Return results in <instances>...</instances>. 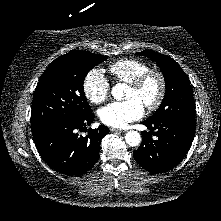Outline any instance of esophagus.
Returning <instances> with one entry per match:
<instances>
[{
    "mask_svg": "<svg viewBox=\"0 0 221 221\" xmlns=\"http://www.w3.org/2000/svg\"><path fill=\"white\" fill-rule=\"evenodd\" d=\"M110 131H112V132H117V133L125 132V131L122 130V129H116V128H110Z\"/></svg>",
    "mask_w": 221,
    "mask_h": 221,
    "instance_id": "obj_1",
    "label": "esophagus"
}]
</instances>
